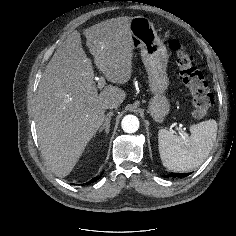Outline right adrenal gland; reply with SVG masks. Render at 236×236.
Returning <instances> with one entry per match:
<instances>
[{
	"label": "right adrenal gland",
	"mask_w": 236,
	"mask_h": 236,
	"mask_svg": "<svg viewBox=\"0 0 236 236\" xmlns=\"http://www.w3.org/2000/svg\"><path fill=\"white\" fill-rule=\"evenodd\" d=\"M113 115V112H110L106 115V119L102 127L99 129V133H101L105 129V133L108 134L110 130V121L111 116Z\"/></svg>",
	"instance_id": "2a0ac1e0"
}]
</instances>
